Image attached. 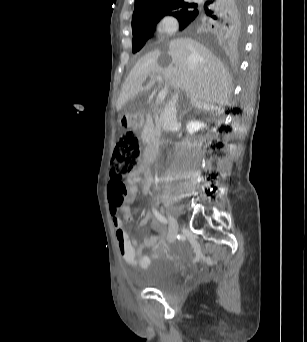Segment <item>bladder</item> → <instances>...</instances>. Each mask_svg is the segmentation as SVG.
Instances as JSON below:
<instances>
[{"instance_id": "obj_1", "label": "bladder", "mask_w": 307, "mask_h": 342, "mask_svg": "<svg viewBox=\"0 0 307 342\" xmlns=\"http://www.w3.org/2000/svg\"><path fill=\"white\" fill-rule=\"evenodd\" d=\"M179 281L178 269L165 259H156L148 266L145 282L149 288L166 291L177 286Z\"/></svg>"}]
</instances>
